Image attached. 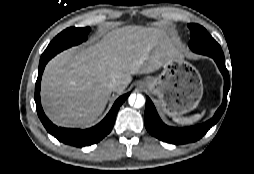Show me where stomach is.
Masks as SVG:
<instances>
[{"label":"stomach","instance_id":"0dacf381","mask_svg":"<svg viewBox=\"0 0 254 174\" xmlns=\"http://www.w3.org/2000/svg\"><path fill=\"white\" fill-rule=\"evenodd\" d=\"M157 77L142 81L146 90L156 95L164 113L180 116L195 109L203 95L202 78L198 70L178 53L168 56Z\"/></svg>","mask_w":254,"mask_h":174}]
</instances>
